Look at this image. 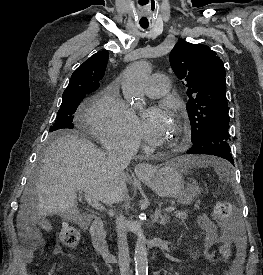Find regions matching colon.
Masks as SVG:
<instances>
[{"instance_id":"5ec220e1","label":"colon","mask_w":263,"mask_h":275,"mask_svg":"<svg viewBox=\"0 0 263 275\" xmlns=\"http://www.w3.org/2000/svg\"><path fill=\"white\" fill-rule=\"evenodd\" d=\"M232 207L226 202H218L215 205L213 211V218L224 225H228L232 219ZM60 240L61 242L69 248H75L80 241V233L78 229L69 224H63L60 229ZM219 253L222 258L227 259L230 256L231 249L228 243L223 244L220 247ZM240 271L237 268H231L227 271L226 275H239ZM207 275V274H204Z\"/></svg>"}]
</instances>
